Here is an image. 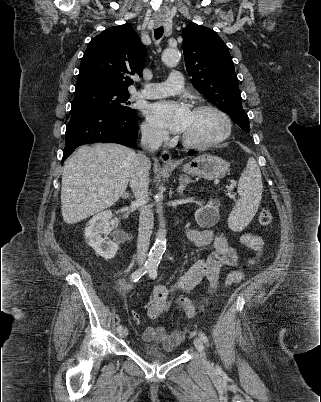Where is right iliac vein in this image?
<instances>
[{"instance_id":"right-iliac-vein-1","label":"right iliac vein","mask_w":321,"mask_h":402,"mask_svg":"<svg viewBox=\"0 0 321 402\" xmlns=\"http://www.w3.org/2000/svg\"><path fill=\"white\" fill-rule=\"evenodd\" d=\"M128 334V330L126 328H123L120 332H119V336L120 338H125Z\"/></svg>"}]
</instances>
